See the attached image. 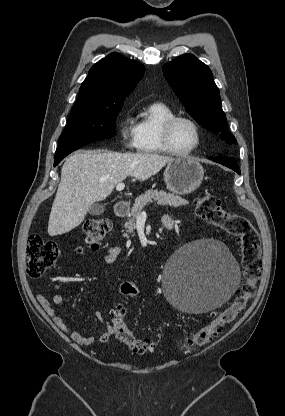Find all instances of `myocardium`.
<instances>
[{
	"mask_svg": "<svg viewBox=\"0 0 285 416\" xmlns=\"http://www.w3.org/2000/svg\"><path fill=\"white\" fill-rule=\"evenodd\" d=\"M179 120H185L187 122H189L193 128L195 129L196 132V144L194 147H192L191 149L185 150V151H180L177 150L171 141V131L172 128L174 126V124L179 121ZM161 141H162V145L165 149V151L173 156H178V157H185V156H189L192 155L194 153H196L198 151V149L201 146L202 143V133H201V128L199 126V124L196 122V120H194L192 117L188 116V115H182V114H175L171 117H169L162 125L161 127Z\"/></svg>",
	"mask_w": 285,
	"mask_h": 416,
	"instance_id": "f54148a6",
	"label": "myocardium"
}]
</instances>
